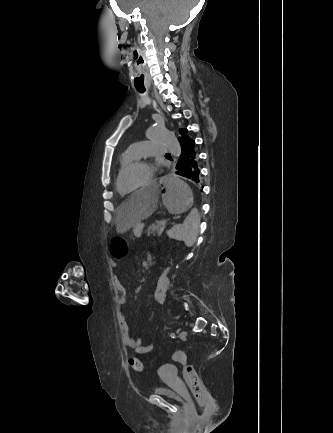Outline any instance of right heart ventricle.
Listing matches in <instances>:
<instances>
[{
    "label": "right heart ventricle",
    "instance_id": "1",
    "mask_svg": "<svg viewBox=\"0 0 333 433\" xmlns=\"http://www.w3.org/2000/svg\"><path fill=\"white\" fill-rule=\"evenodd\" d=\"M135 159H137V158H135V157H134V156H133L129 151H125V152L121 155V157L119 158L118 168H117V173H116V176H115V189H116L117 193H118L121 197H123V196H125V195H124V194H121V193L118 191V188H117V180H118V177H119L121 171L123 170V168H124L125 166H127L129 163H131L132 161H134Z\"/></svg>",
    "mask_w": 333,
    "mask_h": 433
}]
</instances>
